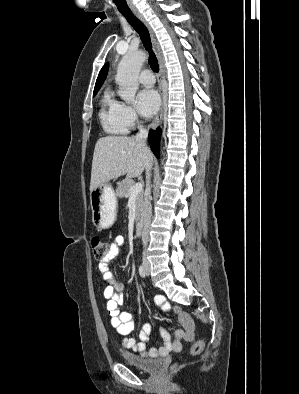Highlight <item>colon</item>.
Wrapping results in <instances>:
<instances>
[{
	"label": "colon",
	"instance_id": "obj_1",
	"mask_svg": "<svg viewBox=\"0 0 299 394\" xmlns=\"http://www.w3.org/2000/svg\"><path fill=\"white\" fill-rule=\"evenodd\" d=\"M91 249L95 259L102 261L108 256L110 245L105 239L94 236L91 238ZM203 348L204 342L197 341L191 347V354L197 355L202 351Z\"/></svg>",
	"mask_w": 299,
	"mask_h": 394
}]
</instances>
